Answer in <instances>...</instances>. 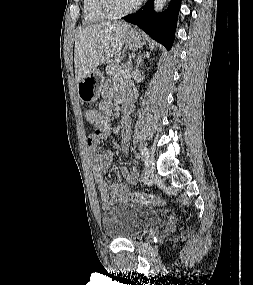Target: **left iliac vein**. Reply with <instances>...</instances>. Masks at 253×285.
I'll list each match as a JSON object with an SVG mask.
<instances>
[{
    "instance_id": "obj_1",
    "label": "left iliac vein",
    "mask_w": 253,
    "mask_h": 285,
    "mask_svg": "<svg viewBox=\"0 0 253 285\" xmlns=\"http://www.w3.org/2000/svg\"><path fill=\"white\" fill-rule=\"evenodd\" d=\"M155 171V158L152 153H148L145 158V175L150 177Z\"/></svg>"
}]
</instances>
